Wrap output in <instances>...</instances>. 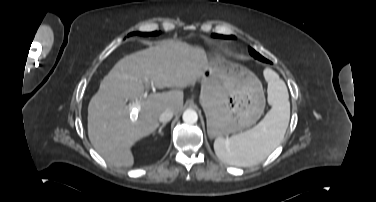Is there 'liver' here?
Here are the masks:
<instances>
[{"label": "liver", "mask_w": 376, "mask_h": 202, "mask_svg": "<svg viewBox=\"0 0 376 202\" xmlns=\"http://www.w3.org/2000/svg\"><path fill=\"white\" fill-rule=\"evenodd\" d=\"M208 63L205 51L185 42L166 40L119 60L100 83L88 106V136L95 150L116 167H131V147L159 127V117L183 107V91L144 97L146 80L155 87L185 88L199 81ZM135 101L132 113L127 101Z\"/></svg>", "instance_id": "6515ba94"}]
</instances>
